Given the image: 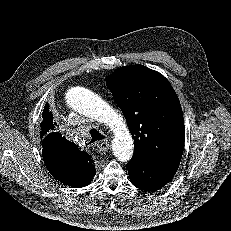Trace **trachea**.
I'll return each instance as SVG.
<instances>
[{
	"label": "trachea",
	"mask_w": 231,
	"mask_h": 231,
	"mask_svg": "<svg viewBox=\"0 0 231 231\" xmlns=\"http://www.w3.org/2000/svg\"><path fill=\"white\" fill-rule=\"evenodd\" d=\"M90 136H91V140L89 143H93L95 141H99V140H103L105 138V136L103 134H101L97 129L92 128L90 131Z\"/></svg>",
	"instance_id": "3493384b"
}]
</instances>
